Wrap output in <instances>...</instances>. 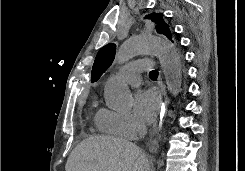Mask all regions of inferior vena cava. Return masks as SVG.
<instances>
[{
  "label": "inferior vena cava",
  "mask_w": 245,
  "mask_h": 171,
  "mask_svg": "<svg viewBox=\"0 0 245 171\" xmlns=\"http://www.w3.org/2000/svg\"><path fill=\"white\" fill-rule=\"evenodd\" d=\"M146 132V125L144 123L140 124V136H144Z\"/></svg>",
  "instance_id": "1"
}]
</instances>
